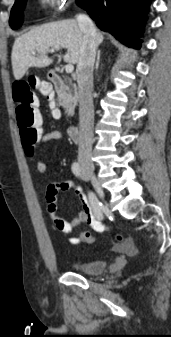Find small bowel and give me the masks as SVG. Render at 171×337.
<instances>
[{
	"mask_svg": "<svg viewBox=\"0 0 171 337\" xmlns=\"http://www.w3.org/2000/svg\"><path fill=\"white\" fill-rule=\"evenodd\" d=\"M62 138V132L58 130L51 131L42 135L40 144L43 146L50 141L61 140ZM37 171L41 175H44L47 172V163L43 159L37 161ZM68 191H72L82 204V210L77 212L71 220H66L57 215V196L61 192ZM45 199L50 220L59 232L65 234L71 233L75 227L83 223L88 224L95 233L103 231V224L96 217L87 195L83 192L82 188L77 186L73 181L64 180L49 184L46 189ZM83 241L84 240L80 235L68 239V242L72 245H78Z\"/></svg>",
	"mask_w": 171,
	"mask_h": 337,
	"instance_id": "c3829d8e",
	"label": "small bowel"
}]
</instances>
